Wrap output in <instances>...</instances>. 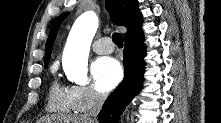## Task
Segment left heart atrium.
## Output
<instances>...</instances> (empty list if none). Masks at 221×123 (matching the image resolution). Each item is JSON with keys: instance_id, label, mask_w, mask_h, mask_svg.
<instances>
[{"instance_id": "1", "label": "left heart atrium", "mask_w": 221, "mask_h": 123, "mask_svg": "<svg viewBox=\"0 0 221 123\" xmlns=\"http://www.w3.org/2000/svg\"><path fill=\"white\" fill-rule=\"evenodd\" d=\"M91 74L98 89L109 91L121 81L123 70L116 59L100 57L93 62Z\"/></svg>"}]
</instances>
